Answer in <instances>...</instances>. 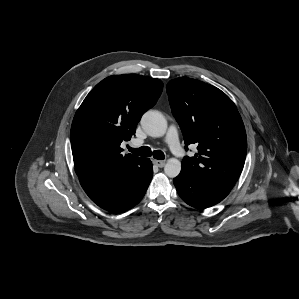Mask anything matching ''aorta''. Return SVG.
<instances>
[{
	"mask_svg": "<svg viewBox=\"0 0 299 299\" xmlns=\"http://www.w3.org/2000/svg\"><path fill=\"white\" fill-rule=\"evenodd\" d=\"M143 130L151 137H162L167 130L165 117L156 110H149L141 118ZM181 171V162L176 158L168 159L164 167L165 174L170 178H175Z\"/></svg>",
	"mask_w": 299,
	"mask_h": 299,
	"instance_id": "aorta-1",
	"label": "aorta"
}]
</instances>
